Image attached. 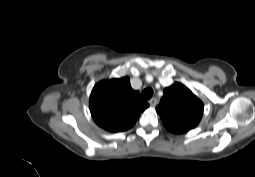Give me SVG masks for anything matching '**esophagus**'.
<instances>
[{"label": "esophagus", "instance_id": "1", "mask_svg": "<svg viewBox=\"0 0 255 177\" xmlns=\"http://www.w3.org/2000/svg\"><path fill=\"white\" fill-rule=\"evenodd\" d=\"M157 103H158V101H157L156 98H152V99L149 100V104H150L151 106H153V107L156 106Z\"/></svg>", "mask_w": 255, "mask_h": 177}]
</instances>
